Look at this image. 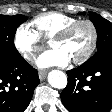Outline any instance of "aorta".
Listing matches in <instances>:
<instances>
[{
    "mask_svg": "<svg viewBox=\"0 0 112 112\" xmlns=\"http://www.w3.org/2000/svg\"><path fill=\"white\" fill-rule=\"evenodd\" d=\"M48 83L57 89H63L67 85V76L60 70H52L48 74Z\"/></svg>",
    "mask_w": 112,
    "mask_h": 112,
    "instance_id": "aorta-1",
    "label": "aorta"
}]
</instances>
